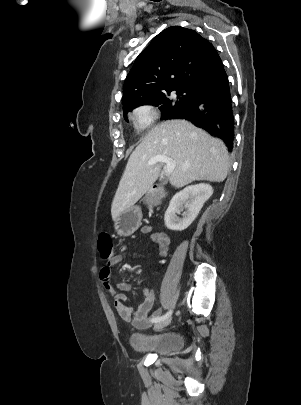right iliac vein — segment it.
Instances as JSON below:
<instances>
[{
    "label": "right iliac vein",
    "instance_id": "obj_1",
    "mask_svg": "<svg viewBox=\"0 0 301 405\" xmlns=\"http://www.w3.org/2000/svg\"><path fill=\"white\" fill-rule=\"evenodd\" d=\"M171 319L167 318L163 321H159L157 323H155L154 325V330H161L164 327H166L169 323H170Z\"/></svg>",
    "mask_w": 301,
    "mask_h": 405
}]
</instances>
